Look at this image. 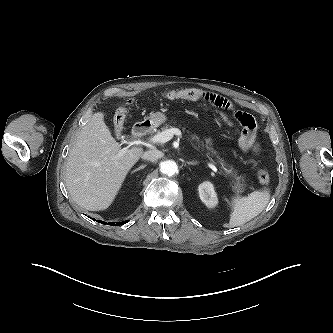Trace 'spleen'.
Masks as SVG:
<instances>
[{"instance_id": "obj_1", "label": "spleen", "mask_w": 333, "mask_h": 333, "mask_svg": "<svg viewBox=\"0 0 333 333\" xmlns=\"http://www.w3.org/2000/svg\"><path fill=\"white\" fill-rule=\"evenodd\" d=\"M270 200L268 191H254L247 197H235L232 199V212L230 215V227L241 226L259 215Z\"/></svg>"}]
</instances>
